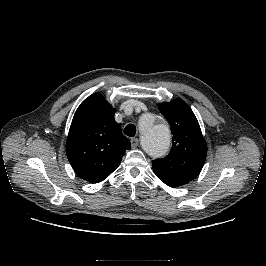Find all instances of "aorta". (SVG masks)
<instances>
[{"instance_id":"obj_1","label":"aorta","mask_w":266,"mask_h":266,"mask_svg":"<svg viewBox=\"0 0 266 266\" xmlns=\"http://www.w3.org/2000/svg\"><path fill=\"white\" fill-rule=\"evenodd\" d=\"M142 148L153 157L164 155L170 146L171 135L169 127L158 121L153 114H145L141 118Z\"/></svg>"}]
</instances>
